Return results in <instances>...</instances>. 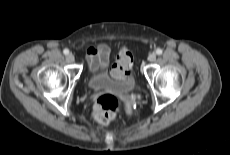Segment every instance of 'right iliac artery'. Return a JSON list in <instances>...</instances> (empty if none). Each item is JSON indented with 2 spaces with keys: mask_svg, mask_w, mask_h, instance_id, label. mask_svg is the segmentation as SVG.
<instances>
[{
  "mask_svg": "<svg viewBox=\"0 0 230 155\" xmlns=\"http://www.w3.org/2000/svg\"><path fill=\"white\" fill-rule=\"evenodd\" d=\"M63 53H64L65 55H67V54L69 53V50H68V49H64V50H63Z\"/></svg>",
  "mask_w": 230,
  "mask_h": 155,
  "instance_id": "right-iliac-artery-1",
  "label": "right iliac artery"
}]
</instances>
